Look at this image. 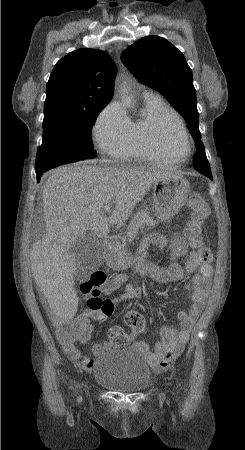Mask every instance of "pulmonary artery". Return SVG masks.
Segmentation results:
<instances>
[{
	"mask_svg": "<svg viewBox=\"0 0 245 450\" xmlns=\"http://www.w3.org/2000/svg\"><path fill=\"white\" fill-rule=\"evenodd\" d=\"M152 93H153L152 91L146 90V91L143 92V96L149 95V94H152Z\"/></svg>",
	"mask_w": 245,
	"mask_h": 450,
	"instance_id": "pulmonary-artery-1",
	"label": "pulmonary artery"
}]
</instances>
